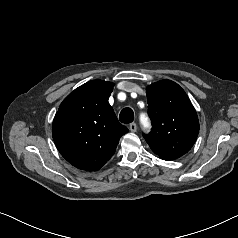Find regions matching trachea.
Here are the masks:
<instances>
[{
	"mask_svg": "<svg viewBox=\"0 0 238 238\" xmlns=\"http://www.w3.org/2000/svg\"><path fill=\"white\" fill-rule=\"evenodd\" d=\"M119 119L122 123H131L134 119V113L131 108H124L119 115Z\"/></svg>",
	"mask_w": 238,
	"mask_h": 238,
	"instance_id": "obj_1",
	"label": "trachea"
}]
</instances>
